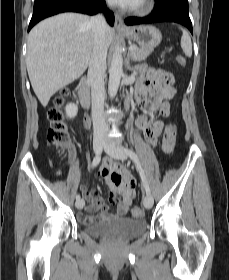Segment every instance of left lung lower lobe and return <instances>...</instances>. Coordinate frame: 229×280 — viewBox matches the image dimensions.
Segmentation results:
<instances>
[{"instance_id": "1", "label": "left lung lower lobe", "mask_w": 229, "mask_h": 280, "mask_svg": "<svg viewBox=\"0 0 229 280\" xmlns=\"http://www.w3.org/2000/svg\"><path fill=\"white\" fill-rule=\"evenodd\" d=\"M154 22H176L184 25L193 33L188 14V0H156V6L151 15L144 18L129 17L125 20L126 25Z\"/></svg>"}]
</instances>
